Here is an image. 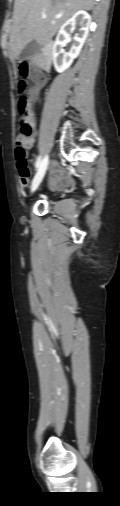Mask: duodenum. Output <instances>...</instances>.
I'll return each instance as SVG.
<instances>
[{
	"label": "duodenum",
	"instance_id": "duodenum-1",
	"mask_svg": "<svg viewBox=\"0 0 120 506\" xmlns=\"http://www.w3.org/2000/svg\"><path fill=\"white\" fill-rule=\"evenodd\" d=\"M51 54H52V45L49 43L46 46V49H45V55H46L45 63H46V65L48 64V59H49V57H50Z\"/></svg>",
	"mask_w": 120,
	"mask_h": 506
}]
</instances>
